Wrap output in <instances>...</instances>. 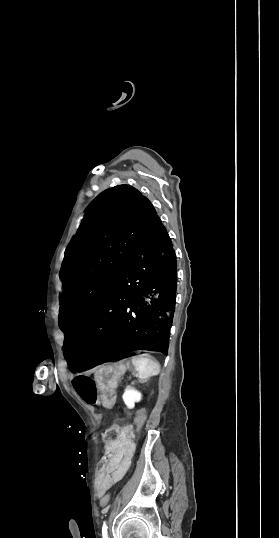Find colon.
Masks as SVG:
<instances>
[{
    "instance_id": "colon-1",
    "label": "colon",
    "mask_w": 279,
    "mask_h": 538,
    "mask_svg": "<svg viewBox=\"0 0 279 538\" xmlns=\"http://www.w3.org/2000/svg\"><path fill=\"white\" fill-rule=\"evenodd\" d=\"M140 420L138 421V424H140ZM120 436V425L118 423L113 424L111 427L106 429L103 432V441L105 443V450L103 452V455L99 459L96 467V481L101 480L105 474H106V466L109 460V454L106 450L107 446L112 445L115 443ZM110 502V496L108 494H105L101 498V506L106 507Z\"/></svg>"
}]
</instances>
